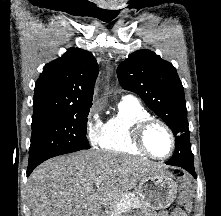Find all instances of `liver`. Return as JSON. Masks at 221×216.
<instances>
[{
  "label": "liver",
  "mask_w": 221,
  "mask_h": 216,
  "mask_svg": "<svg viewBox=\"0 0 221 216\" xmlns=\"http://www.w3.org/2000/svg\"><path fill=\"white\" fill-rule=\"evenodd\" d=\"M166 168L148 160L99 150L49 159L28 179L32 216H103L122 194Z\"/></svg>",
  "instance_id": "obj_1"
}]
</instances>
